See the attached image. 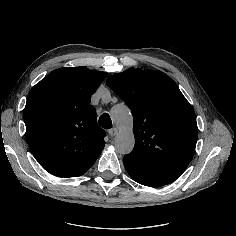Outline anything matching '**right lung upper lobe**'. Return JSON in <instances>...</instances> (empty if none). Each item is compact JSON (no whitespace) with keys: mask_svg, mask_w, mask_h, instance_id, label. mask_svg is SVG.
<instances>
[{"mask_svg":"<svg viewBox=\"0 0 236 236\" xmlns=\"http://www.w3.org/2000/svg\"><path fill=\"white\" fill-rule=\"evenodd\" d=\"M107 73L60 68L29 92L23 111L26 138L38 163L58 177L84 174L104 148L105 131L90 105Z\"/></svg>","mask_w":236,"mask_h":236,"instance_id":"1","label":"right lung upper lobe"}]
</instances>
